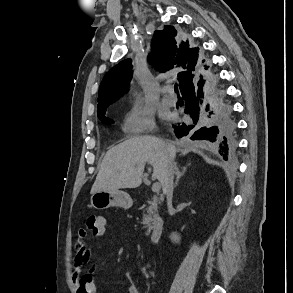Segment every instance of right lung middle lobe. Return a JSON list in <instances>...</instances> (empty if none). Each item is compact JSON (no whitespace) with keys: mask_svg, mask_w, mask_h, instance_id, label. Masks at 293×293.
<instances>
[{"mask_svg":"<svg viewBox=\"0 0 293 293\" xmlns=\"http://www.w3.org/2000/svg\"><path fill=\"white\" fill-rule=\"evenodd\" d=\"M99 119H100L103 123H105V124H112V123H114L113 120H111V119L105 117V115H103V116H99Z\"/></svg>","mask_w":293,"mask_h":293,"instance_id":"dd1d6c3e","label":"right lung middle lobe"}]
</instances>
